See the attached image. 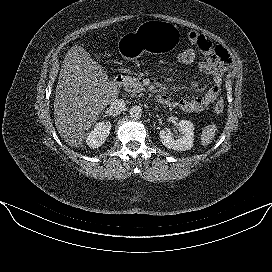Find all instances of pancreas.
I'll return each instance as SVG.
<instances>
[{
	"instance_id": "pancreas-1",
	"label": "pancreas",
	"mask_w": 272,
	"mask_h": 272,
	"mask_svg": "<svg viewBox=\"0 0 272 272\" xmlns=\"http://www.w3.org/2000/svg\"><path fill=\"white\" fill-rule=\"evenodd\" d=\"M124 89L128 93L135 94V93H140L141 91H143L144 86L141 84L140 79L128 77L124 84Z\"/></svg>"
}]
</instances>
